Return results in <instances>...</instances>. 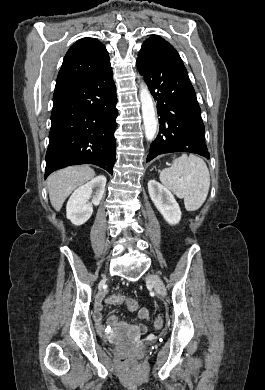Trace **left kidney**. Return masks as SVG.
Here are the masks:
<instances>
[{"instance_id":"1","label":"left kidney","mask_w":265,"mask_h":390,"mask_svg":"<svg viewBox=\"0 0 265 390\" xmlns=\"http://www.w3.org/2000/svg\"><path fill=\"white\" fill-rule=\"evenodd\" d=\"M150 198L163 218L170 225H176L181 219V210L173 194L154 179L148 182Z\"/></svg>"}]
</instances>
